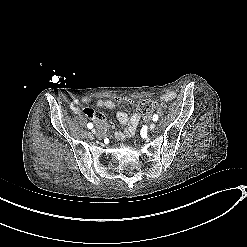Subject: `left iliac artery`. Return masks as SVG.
<instances>
[{"label":"left iliac artery","mask_w":247,"mask_h":247,"mask_svg":"<svg viewBox=\"0 0 247 247\" xmlns=\"http://www.w3.org/2000/svg\"><path fill=\"white\" fill-rule=\"evenodd\" d=\"M152 119H153V121H157L158 120V115L154 114Z\"/></svg>","instance_id":"44dca946"}]
</instances>
